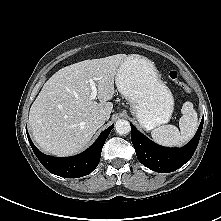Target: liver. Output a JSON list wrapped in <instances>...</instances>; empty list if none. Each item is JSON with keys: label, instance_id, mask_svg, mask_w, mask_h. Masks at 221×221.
<instances>
[{"label": "liver", "instance_id": "liver-1", "mask_svg": "<svg viewBox=\"0 0 221 221\" xmlns=\"http://www.w3.org/2000/svg\"><path fill=\"white\" fill-rule=\"evenodd\" d=\"M125 54L84 60L52 75L42 87L29 112L32 136L39 147L55 156L81 151L110 118L114 79ZM94 79L99 103L90 99L89 80Z\"/></svg>", "mask_w": 221, "mask_h": 221}]
</instances>
